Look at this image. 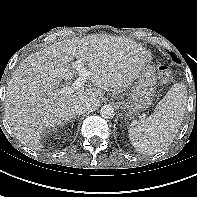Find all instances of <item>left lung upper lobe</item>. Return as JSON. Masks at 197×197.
Here are the masks:
<instances>
[{
	"instance_id": "5c2ea615",
	"label": "left lung upper lobe",
	"mask_w": 197,
	"mask_h": 197,
	"mask_svg": "<svg viewBox=\"0 0 197 197\" xmlns=\"http://www.w3.org/2000/svg\"><path fill=\"white\" fill-rule=\"evenodd\" d=\"M171 56L174 62H180V60L177 58V56L174 53H171Z\"/></svg>"
}]
</instances>
